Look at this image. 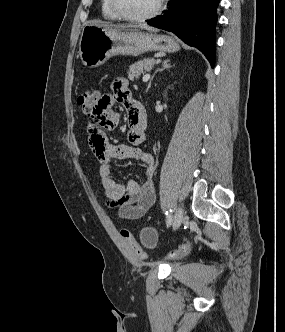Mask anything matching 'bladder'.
I'll return each instance as SVG.
<instances>
[{"label":"bladder","instance_id":"obj_1","mask_svg":"<svg viewBox=\"0 0 285 332\" xmlns=\"http://www.w3.org/2000/svg\"><path fill=\"white\" fill-rule=\"evenodd\" d=\"M141 242L147 247H153L157 240L156 232L151 228H143L140 231Z\"/></svg>","mask_w":285,"mask_h":332}]
</instances>
